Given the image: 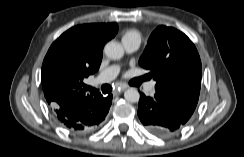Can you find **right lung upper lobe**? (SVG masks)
Masks as SVG:
<instances>
[{"label": "right lung upper lobe", "instance_id": "1", "mask_svg": "<svg viewBox=\"0 0 244 157\" xmlns=\"http://www.w3.org/2000/svg\"><path fill=\"white\" fill-rule=\"evenodd\" d=\"M117 31L116 23L78 25L51 45L43 61L41 79L45 98L54 110L67 111L76 102L94 98L82 88L83 79L99 69L103 47Z\"/></svg>", "mask_w": 244, "mask_h": 157}]
</instances>
